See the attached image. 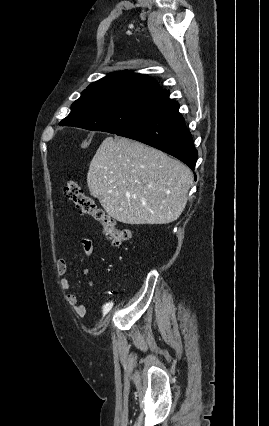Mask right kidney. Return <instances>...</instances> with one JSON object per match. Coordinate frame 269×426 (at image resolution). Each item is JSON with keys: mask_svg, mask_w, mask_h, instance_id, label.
<instances>
[{"mask_svg": "<svg viewBox=\"0 0 269 426\" xmlns=\"http://www.w3.org/2000/svg\"><path fill=\"white\" fill-rule=\"evenodd\" d=\"M111 307H112V304H111V303L106 304V305L104 306V308H103V313H104V314L108 313V312L110 311Z\"/></svg>", "mask_w": 269, "mask_h": 426, "instance_id": "right-kidney-1", "label": "right kidney"}]
</instances>
